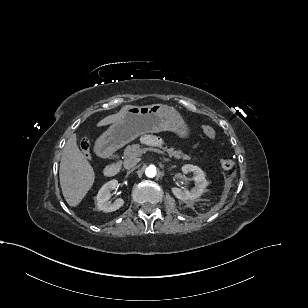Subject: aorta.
Here are the masks:
<instances>
[{
	"label": "aorta",
	"instance_id": "obj_1",
	"mask_svg": "<svg viewBox=\"0 0 308 308\" xmlns=\"http://www.w3.org/2000/svg\"><path fill=\"white\" fill-rule=\"evenodd\" d=\"M156 167L154 165H150L149 167L146 168L145 174L147 177L153 178L156 176Z\"/></svg>",
	"mask_w": 308,
	"mask_h": 308
}]
</instances>
